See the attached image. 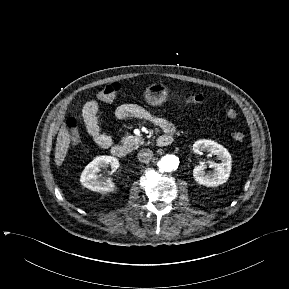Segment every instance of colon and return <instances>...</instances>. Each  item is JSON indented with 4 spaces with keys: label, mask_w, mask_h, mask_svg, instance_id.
I'll return each instance as SVG.
<instances>
[{
    "label": "colon",
    "mask_w": 289,
    "mask_h": 289,
    "mask_svg": "<svg viewBox=\"0 0 289 289\" xmlns=\"http://www.w3.org/2000/svg\"><path fill=\"white\" fill-rule=\"evenodd\" d=\"M120 90V84L113 82L104 86H101L97 91V96L101 101L110 102L113 101L117 93ZM205 101V97L201 93H192L187 97V102L194 104H202ZM226 115L230 119L237 117V112L229 108L226 111ZM67 126L70 129L72 145L76 146L81 142V132L79 130V121L76 117H71L67 120ZM234 140L241 142L244 139V134L239 131L232 133Z\"/></svg>",
    "instance_id": "1"
}]
</instances>
